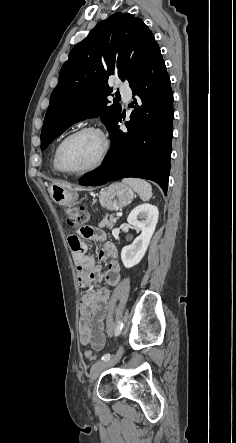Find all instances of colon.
Listing matches in <instances>:
<instances>
[{"label": "colon", "mask_w": 236, "mask_h": 443, "mask_svg": "<svg viewBox=\"0 0 236 443\" xmlns=\"http://www.w3.org/2000/svg\"><path fill=\"white\" fill-rule=\"evenodd\" d=\"M64 216L69 226L74 228H80V234L85 238L92 236L90 227H85L88 220V213L84 208H67L64 210ZM88 360L94 359V353L91 350H86L84 353Z\"/></svg>", "instance_id": "colon-1"}]
</instances>
